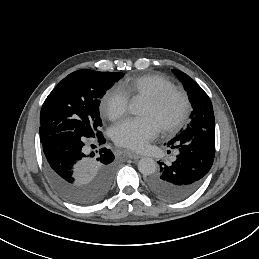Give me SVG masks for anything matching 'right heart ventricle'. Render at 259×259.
<instances>
[{
	"mask_svg": "<svg viewBox=\"0 0 259 259\" xmlns=\"http://www.w3.org/2000/svg\"><path fill=\"white\" fill-rule=\"evenodd\" d=\"M173 87V82L161 75H129L116 85L115 91L127 100L136 96L148 99Z\"/></svg>",
	"mask_w": 259,
	"mask_h": 259,
	"instance_id": "e07e8e85",
	"label": "right heart ventricle"
}]
</instances>
